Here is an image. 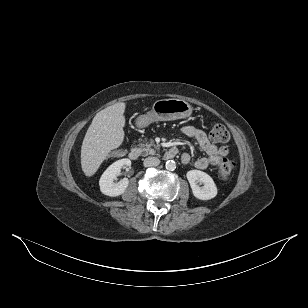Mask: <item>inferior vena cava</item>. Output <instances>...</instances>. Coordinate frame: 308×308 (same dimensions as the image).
I'll use <instances>...</instances> for the list:
<instances>
[{"label": "inferior vena cava", "instance_id": "obj_1", "mask_svg": "<svg viewBox=\"0 0 308 308\" xmlns=\"http://www.w3.org/2000/svg\"><path fill=\"white\" fill-rule=\"evenodd\" d=\"M143 164L145 167H156L160 164V160L157 157H148Z\"/></svg>", "mask_w": 308, "mask_h": 308}]
</instances>
